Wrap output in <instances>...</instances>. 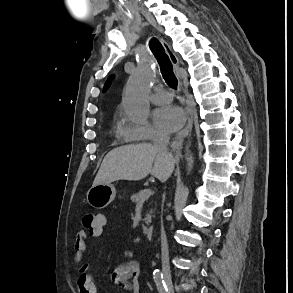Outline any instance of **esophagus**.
I'll use <instances>...</instances> for the list:
<instances>
[{
  "instance_id": "34e87169",
  "label": "esophagus",
  "mask_w": 293,
  "mask_h": 293,
  "mask_svg": "<svg viewBox=\"0 0 293 293\" xmlns=\"http://www.w3.org/2000/svg\"><path fill=\"white\" fill-rule=\"evenodd\" d=\"M162 44L165 48V51L171 61V63L173 64L175 69H178L179 67V60L177 58V56L175 55V53L172 51V49L170 48V46L165 42L162 41ZM187 113H188V122L187 125L185 126V128L183 130H181L178 134H177V140H182L183 138H185L188 133L191 131L192 129V124H193V113L192 110L190 108L189 105H187Z\"/></svg>"
}]
</instances>
